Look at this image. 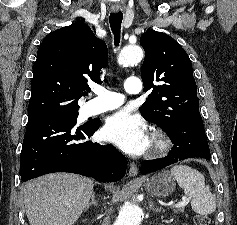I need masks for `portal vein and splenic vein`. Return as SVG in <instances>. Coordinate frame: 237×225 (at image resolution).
<instances>
[{
  "instance_id": "18ae733b",
  "label": "portal vein and splenic vein",
  "mask_w": 237,
  "mask_h": 225,
  "mask_svg": "<svg viewBox=\"0 0 237 225\" xmlns=\"http://www.w3.org/2000/svg\"><path fill=\"white\" fill-rule=\"evenodd\" d=\"M189 203V199L187 198H183L182 201L178 202L177 204L173 205V207L175 208H181V207H184L186 206L187 204Z\"/></svg>"
}]
</instances>
